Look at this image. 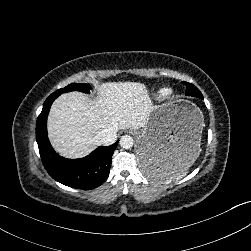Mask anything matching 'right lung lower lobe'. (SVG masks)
Segmentation results:
<instances>
[{
	"label": "right lung lower lobe",
	"instance_id": "1",
	"mask_svg": "<svg viewBox=\"0 0 251 251\" xmlns=\"http://www.w3.org/2000/svg\"><path fill=\"white\" fill-rule=\"evenodd\" d=\"M58 96L52 93L46 99L36 122V139L42 163L49 175L61 184L85 190L96 188L102 185L109 175L112 155L118 141L111 146L98 147L81 159L59 156L50 145L46 128L50 107Z\"/></svg>",
	"mask_w": 251,
	"mask_h": 251
}]
</instances>
